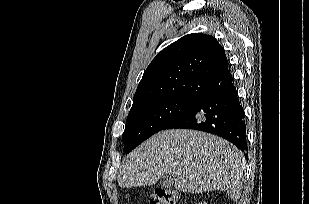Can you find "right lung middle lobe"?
Listing matches in <instances>:
<instances>
[{
  "mask_svg": "<svg viewBox=\"0 0 309 204\" xmlns=\"http://www.w3.org/2000/svg\"><path fill=\"white\" fill-rule=\"evenodd\" d=\"M199 100L189 98H157L132 105L122 135L125 152L129 153Z\"/></svg>",
  "mask_w": 309,
  "mask_h": 204,
  "instance_id": "obj_1",
  "label": "right lung middle lobe"
}]
</instances>
